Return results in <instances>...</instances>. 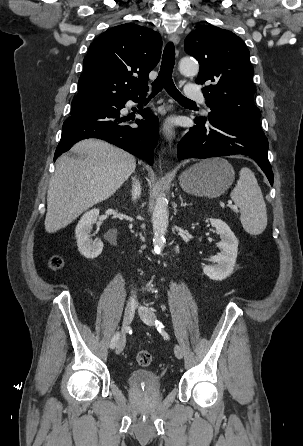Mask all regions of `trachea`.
Returning <instances> with one entry per match:
<instances>
[{"instance_id": "trachea-1", "label": "trachea", "mask_w": 303, "mask_h": 446, "mask_svg": "<svg viewBox=\"0 0 303 446\" xmlns=\"http://www.w3.org/2000/svg\"><path fill=\"white\" fill-rule=\"evenodd\" d=\"M175 64V49L174 44L169 42L163 52L160 72L156 80L152 83V93L150 97L155 96L163 88L167 93L179 103H195L192 100L184 97L176 88L172 72Z\"/></svg>"}]
</instances>
